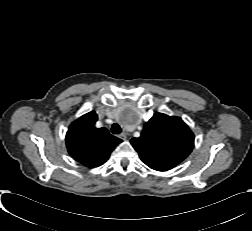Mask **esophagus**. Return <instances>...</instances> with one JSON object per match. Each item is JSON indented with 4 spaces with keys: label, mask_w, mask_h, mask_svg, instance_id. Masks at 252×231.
<instances>
[{
    "label": "esophagus",
    "mask_w": 252,
    "mask_h": 231,
    "mask_svg": "<svg viewBox=\"0 0 252 231\" xmlns=\"http://www.w3.org/2000/svg\"><path fill=\"white\" fill-rule=\"evenodd\" d=\"M119 137H120L121 139H123V140H126V138H127V136H126L125 133H121V134L119 135Z\"/></svg>",
    "instance_id": "34e87169"
}]
</instances>
